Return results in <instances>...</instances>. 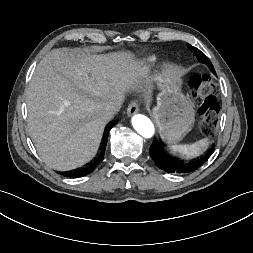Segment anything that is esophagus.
<instances>
[{
  "label": "esophagus",
  "mask_w": 253,
  "mask_h": 253,
  "mask_svg": "<svg viewBox=\"0 0 253 253\" xmlns=\"http://www.w3.org/2000/svg\"><path fill=\"white\" fill-rule=\"evenodd\" d=\"M138 111H139V107L136 102L133 101L128 105L127 113L129 116L135 115L136 113H138Z\"/></svg>",
  "instance_id": "34e87169"
}]
</instances>
